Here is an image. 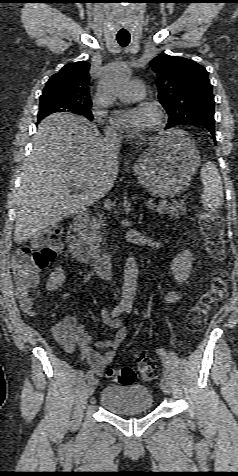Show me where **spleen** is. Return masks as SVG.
I'll return each mask as SVG.
<instances>
[{
  "mask_svg": "<svg viewBox=\"0 0 238 476\" xmlns=\"http://www.w3.org/2000/svg\"><path fill=\"white\" fill-rule=\"evenodd\" d=\"M203 183L202 203L210 210L218 209L223 205V187L220 174L213 162L207 161L200 172Z\"/></svg>",
  "mask_w": 238,
  "mask_h": 476,
  "instance_id": "spleen-1",
  "label": "spleen"
}]
</instances>
